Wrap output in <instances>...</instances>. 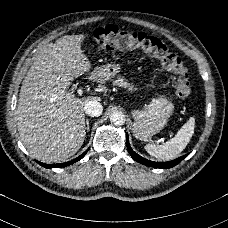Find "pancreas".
<instances>
[{
    "instance_id": "obj_1",
    "label": "pancreas",
    "mask_w": 228,
    "mask_h": 228,
    "mask_svg": "<svg viewBox=\"0 0 228 228\" xmlns=\"http://www.w3.org/2000/svg\"><path fill=\"white\" fill-rule=\"evenodd\" d=\"M114 85L123 87V88H128V90L133 89L134 87L132 85H129L126 81L123 80V78H119L114 82Z\"/></svg>"
}]
</instances>
